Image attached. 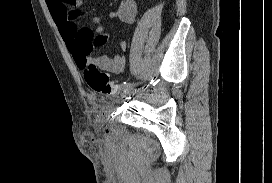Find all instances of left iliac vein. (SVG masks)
<instances>
[{"mask_svg": "<svg viewBox=\"0 0 272 183\" xmlns=\"http://www.w3.org/2000/svg\"><path fill=\"white\" fill-rule=\"evenodd\" d=\"M138 92L137 89H135L134 87L133 88H130L128 89L126 92H124L122 95H121V98L125 97V96H132L134 94H136Z\"/></svg>", "mask_w": 272, "mask_h": 183, "instance_id": "4c4485c4", "label": "left iliac vein"}]
</instances>
